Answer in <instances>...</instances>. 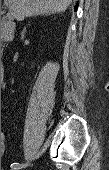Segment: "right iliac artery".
Masks as SVG:
<instances>
[{
    "label": "right iliac artery",
    "instance_id": "82829eb1",
    "mask_svg": "<svg viewBox=\"0 0 109 170\" xmlns=\"http://www.w3.org/2000/svg\"><path fill=\"white\" fill-rule=\"evenodd\" d=\"M24 166H26V165H25V164H21V163H12L10 167H11L13 170H18L19 168H22V167H24Z\"/></svg>",
    "mask_w": 109,
    "mask_h": 170
}]
</instances>
